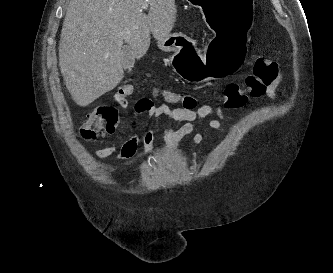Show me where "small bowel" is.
I'll return each mask as SVG.
<instances>
[{
  "label": "small bowel",
  "instance_id": "obj_1",
  "mask_svg": "<svg viewBox=\"0 0 333 273\" xmlns=\"http://www.w3.org/2000/svg\"><path fill=\"white\" fill-rule=\"evenodd\" d=\"M282 83L283 72L279 67H276L274 78L266 87L267 97L272 100L278 99L283 93V91L278 93V89L282 86ZM114 99L121 108L125 109L128 107L126 97L117 93ZM135 111L138 114H147L149 117L143 136L140 138L137 134H133L123 143L119 151H117V146L114 143L99 148L95 151L97 159H106L115 153L118 160L130 159L136 154L139 143L142 144V156L144 158L147 157L151 153L154 143V119L168 117L174 121L184 123L177 130L168 127L165 128V148L167 151L174 150L179 142L191 133H194L193 145L199 146L203 141V134L200 131H196V126L206 118L216 117L215 119L208 120L206 123L209 129L215 131H221L223 124L227 122L224 109H200V107L196 109H183V107H172L166 103L154 106L150 96H142L141 101L135 104Z\"/></svg>",
  "mask_w": 333,
  "mask_h": 273
}]
</instances>
